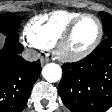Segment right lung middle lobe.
Instances as JSON below:
<instances>
[{
  "instance_id": "dd1d6c3e",
  "label": "right lung middle lobe",
  "mask_w": 112,
  "mask_h": 112,
  "mask_svg": "<svg viewBox=\"0 0 112 112\" xmlns=\"http://www.w3.org/2000/svg\"><path fill=\"white\" fill-rule=\"evenodd\" d=\"M22 18L18 15L0 14V32L7 38L18 41V28L20 27Z\"/></svg>"
}]
</instances>
